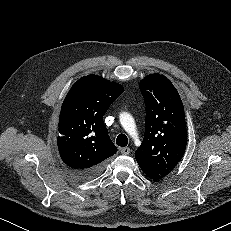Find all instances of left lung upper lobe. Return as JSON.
<instances>
[{"label": "left lung upper lobe", "mask_w": 231, "mask_h": 231, "mask_svg": "<svg viewBox=\"0 0 231 231\" xmlns=\"http://www.w3.org/2000/svg\"><path fill=\"white\" fill-rule=\"evenodd\" d=\"M146 105L145 135L135 151L140 167L166 176L184 155L187 144L184 107L165 76L150 74L140 82Z\"/></svg>", "instance_id": "left-lung-upper-lobe-1"}]
</instances>
